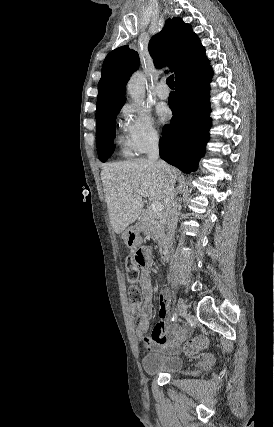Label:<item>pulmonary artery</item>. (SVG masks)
I'll use <instances>...</instances> for the list:
<instances>
[{
  "mask_svg": "<svg viewBox=\"0 0 274 427\" xmlns=\"http://www.w3.org/2000/svg\"><path fill=\"white\" fill-rule=\"evenodd\" d=\"M156 94L160 99H167L170 95V89L165 82H161L156 87Z\"/></svg>",
  "mask_w": 274,
  "mask_h": 427,
  "instance_id": "e3ab8cb5",
  "label": "pulmonary artery"
}]
</instances>
